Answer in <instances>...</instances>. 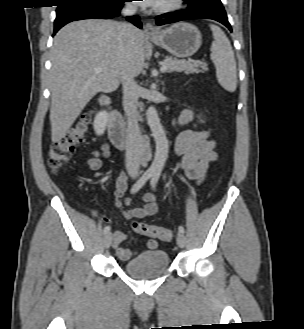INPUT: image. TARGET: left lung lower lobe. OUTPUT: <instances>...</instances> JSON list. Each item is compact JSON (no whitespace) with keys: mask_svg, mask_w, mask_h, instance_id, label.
I'll use <instances>...</instances> for the list:
<instances>
[{"mask_svg":"<svg viewBox=\"0 0 304 329\" xmlns=\"http://www.w3.org/2000/svg\"><path fill=\"white\" fill-rule=\"evenodd\" d=\"M188 8L182 12L170 14L172 17L157 20V25L169 24L189 19H213L225 25L231 32L226 12L220 0H185Z\"/></svg>","mask_w":304,"mask_h":329,"instance_id":"0a47b994","label":"left lung lower lobe"}]
</instances>
